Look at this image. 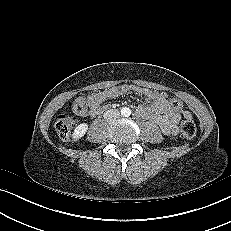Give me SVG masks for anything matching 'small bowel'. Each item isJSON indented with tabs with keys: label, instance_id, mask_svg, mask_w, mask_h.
Listing matches in <instances>:
<instances>
[{
	"label": "small bowel",
	"instance_id": "obj_1",
	"mask_svg": "<svg viewBox=\"0 0 231 231\" xmlns=\"http://www.w3.org/2000/svg\"><path fill=\"white\" fill-rule=\"evenodd\" d=\"M135 92L144 96L148 103L136 109L139 118L156 123L162 132L169 137H175L178 133V124L182 118H191V114L185 110L174 109L164 92H152L138 86L123 84L112 88L92 93L87 97H80L86 104L84 115L95 117L106 109L102 103L109 98L120 97L126 93Z\"/></svg>",
	"mask_w": 231,
	"mask_h": 231
}]
</instances>
